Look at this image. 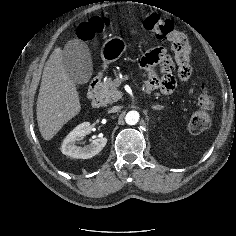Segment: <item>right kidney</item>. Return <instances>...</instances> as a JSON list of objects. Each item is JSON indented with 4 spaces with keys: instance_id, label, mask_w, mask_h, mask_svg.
<instances>
[{
    "instance_id": "ca27d5eb",
    "label": "right kidney",
    "mask_w": 236,
    "mask_h": 236,
    "mask_svg": "<svg viewBox=\"0 0 236 236\" xmlns=\"http://www.w3.org/2000/svg\"><path fill=\"white\" fill-rule=\"evenodd\" d=\"M90 132V123L84 122L74 128L64 139L61 147L63 154L77 158L89 159L97 155L106 145L107 138L98 137L84 147L77 146L76 144Z\"/></svg>"
}]
</instances>
